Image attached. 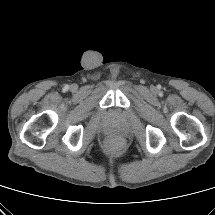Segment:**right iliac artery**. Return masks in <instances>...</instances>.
<instances>
[{"instance_id": "82829eb1", "label": "right iliac artery", "mask_w": 215, "mask_h": 215, "mask_svg": "<svg viewBox=\"0 0 215 215\" xmlns=\"http://www.w3.org/2000/svg\"><path fill=\"white\" fill-rule=\"evenodd\" d=\"M69 89V86L68 85H65L64 86V91H67Z\"/></svg>"}]
</instances>
